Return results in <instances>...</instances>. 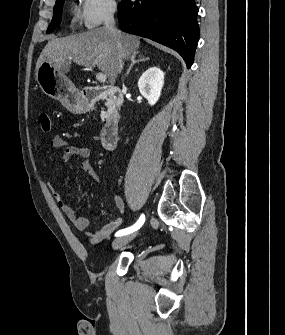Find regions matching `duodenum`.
<instances>
[{"mask_svg":"<svg viewBox=\"0 0 285 335\" xmlns=\"http://www.w3.org/2000/svg\"><path fill=\"white\" fill-rule=\"evenodd\" d=\"M100 100H108V115L101 129L100 140L107 150H113L119 140V108L123 102L122 92L113 85L84 89L82 103L85 107H90Z\"/></svg>","mask_w":285,"mask_h":335,"instance_id":"1","label":"duodenum"}]
</instances>
